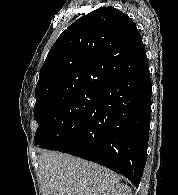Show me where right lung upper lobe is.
<instances>
[{
	"label": "right lung upper lobe",
	"instance_id": "right-lung-upper-lobe-1",
	"mask_svg": "<svg viewBox=\"0 0 178 195\" xmlns=\"http://www.w3.org/2000/svg\"><path fill=\"white\" fill-rule=\"evenodd\" d=\"M147 64L134 22L114 7L75 21L50 49L35 89L36 104L77 90H99Z\"/></svg>",
	"mask_w": 178,
	"mask_h": 195
}]
</instances>
